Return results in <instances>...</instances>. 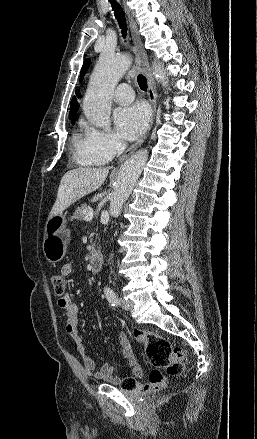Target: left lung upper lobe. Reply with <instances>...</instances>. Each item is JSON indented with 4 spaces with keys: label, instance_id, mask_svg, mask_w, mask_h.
<instances>
[{
    "label": "left lung upper lobe",
    "instance_id": "left-lung-upper-lobe-1",
    "mask_svg": "<svg viewBox=\"0 0 257 439\" xmlns=\"http://www.w3.org/2000/svg\"><path fill=\"white\" fill-rule=\"evenodd\" d=\"M89 64H90V59H89V58L85 59V60H84V63H83V66H82V69H81V72H80V79L83 78V76H84L86 70H87L88 67H89Z\"/></svg>",
    "mask_w": 257,
    "mask_h": 439
}]
</instances>
